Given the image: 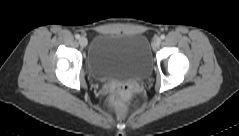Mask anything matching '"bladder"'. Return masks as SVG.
<instances>
[{"label":"bladder","instance_id":"obj_1","mask_svg":"<svg viewBox=\"0 0 239 136\" xmlns=\"http://www.w3.org/2000/svg\"><path fill=\"white\" fill-rule=\"evenodd\" d=\"M153 59L150 44L142 34L105 31L93 39L86 61L97 79L143 78L150 74Z\"/></svg>","mask_w":239,"mask_h":136}]
</instances>
